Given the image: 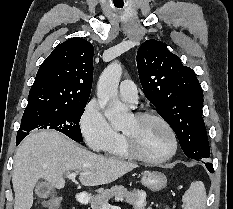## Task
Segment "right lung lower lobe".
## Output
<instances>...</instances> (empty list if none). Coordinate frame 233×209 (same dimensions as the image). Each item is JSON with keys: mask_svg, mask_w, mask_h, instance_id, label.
<instances>
[{"mask_svg": "<svg viewBox=\"0 0 233 209\" xmlns=\"http://www.w3.org/2000/svg\"><path fill=\"white\" fill-rule=\"evenodd\" d=\"M23 140V138H20V139H16V144L18 145L21 141Z\"/></svg>", "mask_w": 233, "mask_h": 209, "instance_id": "98d812e1", "label": "right lung lower lobe"}]
</instances>
